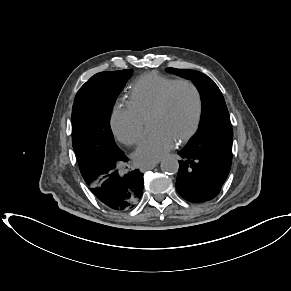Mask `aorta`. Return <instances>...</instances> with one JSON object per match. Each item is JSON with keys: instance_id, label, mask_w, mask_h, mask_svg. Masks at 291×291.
<instances>
[{"instance_id": "obj_1", "label": "aorta", "mask_w": 291, "mask_h": 291, "mask_svg": "<svg viewBox=\"0 0 291 291\" xmlns=\"http://www.w3.org/2000/svg\"><path fill=\"white\" fill-rule=\"evenodd\" d=\"M160 167H161V170L165 173L175 174L178 172L179 163L175 158L168 157L161 161Z\"/></svg>"}]
</instances>
